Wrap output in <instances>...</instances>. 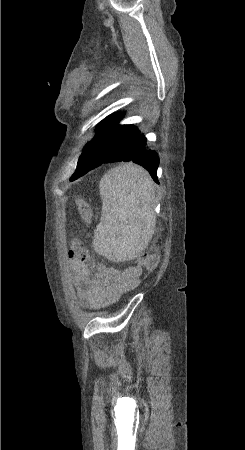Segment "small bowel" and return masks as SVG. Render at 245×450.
Masks as SVG:
<instances>
[{
	"label": "small bowel",
	"mask_w": 245,
	"mask_h": 450,
	"mask_svg": "<svg viewBox=\"0 0 245 450\" xmlns=\"http://www.w3.org/2000/svg\"><path fill=\"white\" fill-rule=\"evenodd\" d=\"M68 256L79 297L90 309H100L117 301L123 293L135 288L140 282L141 270L138 267L131 266L122 271L114 268L98 271L92 258L89 262H80L71 250Z\"/></svg>",
	"instance_id": "obj_1"
}]
</instances>
